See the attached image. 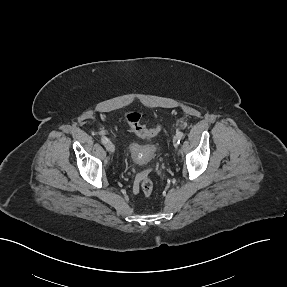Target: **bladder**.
<instances>
[{"label": "bladder", "instance_id": "obj_1", "mask_svg": "<svg viewBox=\"0 0 287 287\" xmlns=\"http://www.w3.org/2000/svg\"><path fill=\"white\" fill-rule=\"evenodd\" d=\"M156 154L154 146H140L131 144L129 147V155L132 162L138 166L148 165L152 162Z\"/></svg>", "mask_w": 287, "mask_h": 287}]
</instances>
